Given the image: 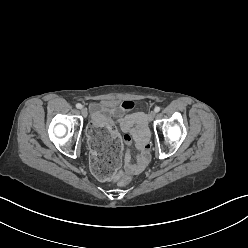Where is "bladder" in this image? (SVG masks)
Listing matches in <instances>:
<instances>
[{"instance_id":"obj_1","label":"bladder","mask_w":248,"mask_h":248,"mask_svg":"<svg viewBox=\"0 0 248 248\" xmlns=\"http://www.w3.org/2000/svg\"><path fill=\"white\" fill-rule=\"evenodd\" d=\"M99 115H95V117L97 118ZM103 116L104 117H109L105 112H103Z\"/></svg>"}]
</instances>
